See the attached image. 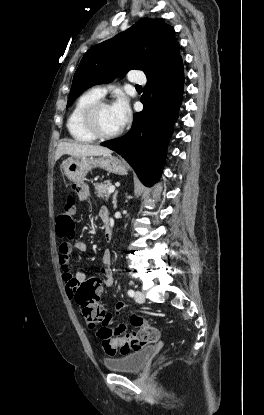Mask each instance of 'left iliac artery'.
I'll list each match as a JSON object with an SVG mask.
<instances>
[{"label": "left iliac artery", "instance_id": "1", "mask_svg": "<svg viewBox=\"0 0 264 415\" xmlns=\"http://www.w3.org/2000/svg\"><path fill=\"white\" fill-rule=\"evenodd\" d=\"M128 295H129L130 297H133V296H134V291H133L132 289H129V290H128Z\"/></svg>", "mask_w": 264, "mask_h": 415}]
</instances>
